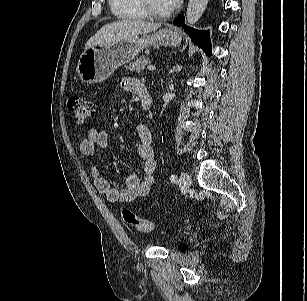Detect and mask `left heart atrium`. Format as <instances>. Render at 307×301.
<instances>
[{"label":"left heart atrium","instance_id":"obj_1","mask_svg":"<svg viewBox=\"0 0 307 301\" xmlns=\"http://www.w3.org/2000/svg\"><path fill=\"white\" fill-rule=\"evenodd\" d=\"M170 9H173L175 6L178 5L180 0H165Z\"/></svg>","mask_w":307,"mask_h":301}]
</instances>
